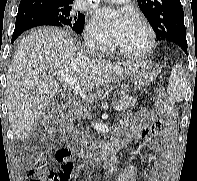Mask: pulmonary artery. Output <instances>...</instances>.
Instances as JSON below:
<instances>
[{"label":"pulmonary artery","mask_w":197,"mask_h":181,"mask_svg":"<svg viewBox=\"0 0 197 181\" xmlns=\"http://www.w3.org/2000/svg\"><path fill=\"white\" fill-rule=\"evenodd\" d=\"M105 1L114 2V3H125V2H127L128 0H105Z\"/></svg>","instance_id":"1"}]
</instances>
